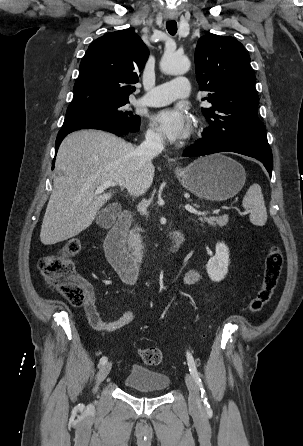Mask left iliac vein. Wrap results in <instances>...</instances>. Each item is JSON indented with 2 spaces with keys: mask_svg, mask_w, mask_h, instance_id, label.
I'll return each instance as SVG.
<instances>
[{
  "mask_svg": "<svg viewBox=\"0 0 303 446\" xmlns=\"http://www.w3.org/2000/svg\"><path fill=\"white\" fill-rule=\"evenodd\" d=\"M186 386L189 391V406L193 412H200L202 410L200 394L197 384L191 374L187 373L185 375Z\"/></svg>",
  "mask_w": 303,
  "mask_h": 446,
  "instance_id": "obj_1",
  "label": "left iliac vein"
}]
</instances>
